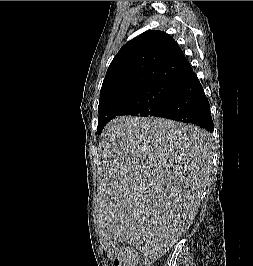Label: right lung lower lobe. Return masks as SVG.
Returning a JSON list of instances; mask_svg holds the SVG:
<instances>
[{"mask_svg": "<svg viewBox=\"0 0 253 266\" xmlns=\"http://www.w3.org/2000/svg\"><path fill=\"white\" fill-rule=\"evenodd\" d=\"M159 117L192 123L213 131L208 99L192 69L172 83L167 105Z\"/></svg>", "mask_w": 253, "mask_h": 266, "instance_id": "98d812e1", "label": "right lung lower lobe"}]
</instances>
